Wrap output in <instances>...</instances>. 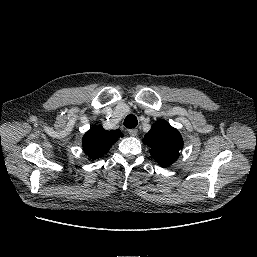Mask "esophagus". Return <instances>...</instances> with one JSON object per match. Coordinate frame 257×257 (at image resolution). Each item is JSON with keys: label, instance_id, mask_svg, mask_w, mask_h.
<instances>
[{"label": "esophagus", "instance_id": "34e87169", "mask_svg": "<svg viewBox=\"0 0 257 257\" xmlns=\"http://www.w3.org/2000/svg\"><path fill=\"white\" fill-rule=\"evenodd\" d=\"M128 133H129L131 136L135 137V136H137V134H138V130H137V129H129V130H128Z\"/></svg>", "mask_w": 257, "mask_h": 257}]
</instances>
